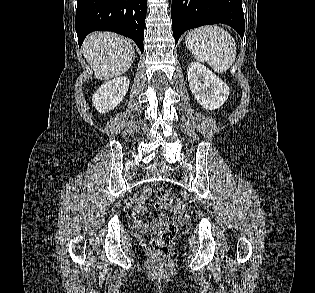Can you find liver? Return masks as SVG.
<instances>
[{
  "instance_id": "liver-1",
  "label": "liver",
  "mask_w": 315,
  "mask_h": 293,
  "mask_svg": "<svg viewBox=\"0 0 315 293\" xmlns=\"http://www.w3.org/2000/svg\"><path fill=\"white\" fill-rule=\"evenodd\" d=\"M82 52L98 80H109L124 74L135 58L130 41L109 32L90 34L82 45Z\"/></svg>"
}]
</instances>
